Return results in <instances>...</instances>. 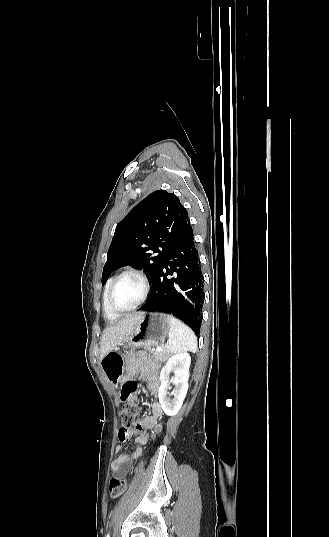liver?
I'll use <instances>...</instances> for the list:
<instances>
[{
    "label": "liver",
    "mask_w": 329,
    "mask_h": 537,
    "mask_svg": "<svg viewBox=\"0 0 329 537\" xmlns=\"http://www.w3.org/2000/svg\"><path fill=\"white\" fill-rule=\"evenodd\" d=\"M143 313L130 315L116 323L108 325L101 336L100 360L118 345L127 340L139 323Z\"/></svg>",
    "instance_id": "liver-1"
}]
</instances>
